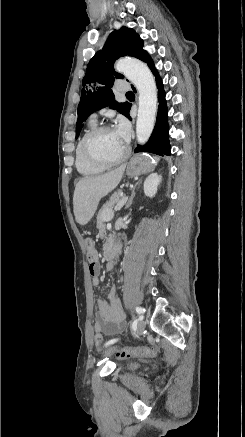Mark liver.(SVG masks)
<instances>
[{"label": "liver", "mask_w": 245, "mask_h": 437, "mask_svg": "<svg viewBox=\"0 0 245 437\" xmlns=\"http://www.w3.org/2000/svg\"><path fill=\"white\" fill-rule=\"evenodd\" d=\"M126 166L99 176L82 178L75 186L73 211L75 220L84 226L94 216L101 198L108 195L120 183Z\"/></svg>", "instance_id": "obj_1"}]
</instances>
